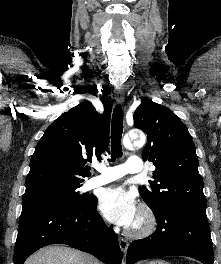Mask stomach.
I'll return each instance as SVG.
<instances>
[{
    "instance_id": "obj_1",
    "label": "stomach",
    "mask_w": 221,
    "mask_h": 264,
    "mask_svg": "<svg viewBox=\"0 0 221 264\" xmlns=\"http://www.w3.org/2000/svg\"><path fill=\"white\" fill-rule=\"evenodd\" d=\"M147 264H170V263H168L166 261H163V260H153V261H150Z\"/></svg>"
}]
</instances>
